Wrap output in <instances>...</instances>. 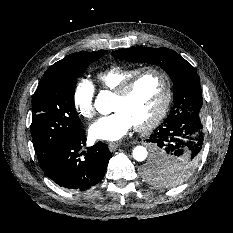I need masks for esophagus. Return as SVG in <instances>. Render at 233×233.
<instances>
[{
	"label": "esophagus",
	"mask_w": 233,
	"mask_h": 233,
	"mask_svg": "<svg viewBox=\"0 0 233 233\" xmlns=\"http://www.w3.org/2000/svg\"><path fill=\"white\" fill-rule=\"evenodd\" d=\"M119 145L120 144L118 142H110L108 144V147L111 152H114L118 148Z\"/></svg>",
	"instance_id": "1"
}]
</instances>
